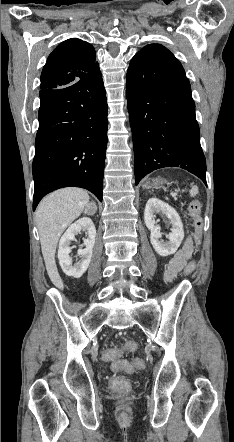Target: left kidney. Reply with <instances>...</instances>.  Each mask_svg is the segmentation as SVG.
Returning a JSON list of instances; mask_svg holds the SVG:
<instances>
[{"label":"left kidney","instance_id":"obj_1","mask_svg":"<svg viewBox=\"0 0 234 442\" xmlns=\"http://www.w3.org/2000/svg\"><path fill=\"white\" fill-rule=\"evenodd\" d=\"M162 212L167 216L172 225L171 233L167 235L168 242L161 241V228L155 221V213ZM144 221L150 230V241L154 250L161 256L174 254L184 239L183 224L179 214L169 204L158 198H150L144 211Z\"/></svg>","mask_w":234,"mask_h":442}]
</instances>
